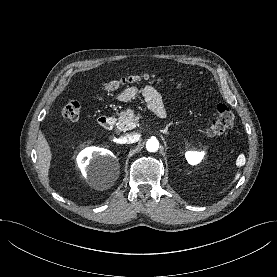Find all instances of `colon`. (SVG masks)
I'll list each match as a JSON object with an SVG mask.
<instances>
[{"instance_id": "5ec220e1", "label": "colon", "mask_w": 277, "mask_h": 277, "mask_svg": "<svg viewBox=\"0 0 277 277\" xmlns=\"http://www.w3.org/2000/svg\"><path fill=\"white\" fill-rule=\"evenodd\" d=\"M155 78L154 74L149 72H142L137 74L128 75L118 79L109 81L105 85V89L114 90L119 86L127 83H135L142 80H153ZM181 82V81H180ZM81 113V106L78 101H69L62 109V114L65 118L69 120H77ZM234 122V114L228 106L223 103H219L216 107V116L207 129V133L210 136H219L227 132Z\"/></svg>"}]
</instances>
